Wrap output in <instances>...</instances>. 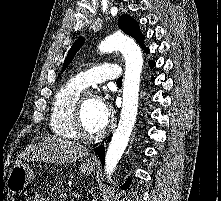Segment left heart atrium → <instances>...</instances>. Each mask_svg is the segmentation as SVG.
I'll list each match as a JSON object with an SVG mask.
<instances>
[{
	"label": "left heart atrium",
	"mask_w": 221,
	"mask_h": 201,
	"mask_svg": "<svg viewBox=\"0 0 221 201\" xmlns=\"http://www.w3.org/2000/svg\"><path fill=\"white\" fill-rule=\"evenodd\" d=\"M101 105H102V109H103L104 114H105L108 118H110V116H111V111H110L109 107H108L105 103H102V102H101Z\"/></svg>",
	"instance_id": "left-heart-atrium-1"
}]
</instances>
